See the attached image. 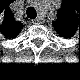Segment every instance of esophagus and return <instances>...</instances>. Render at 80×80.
Wrapping results in <instances>:
<instances>
[{"mask_svg":"<svg viewBox=\"0 0 80 80\" xmlns=\"http://www.w3.org/2000/svg\"><path fill=\"white\" fill-rule=\"evenodd\" d=\"M32 23H34V24H40L42 22H40V20L38 18H36V19L32 20Z\"/></svg>","mask_w":80,"mask_h":80,"instance_id":"esophagus-1","label":"esophagus"}]
</instances>
